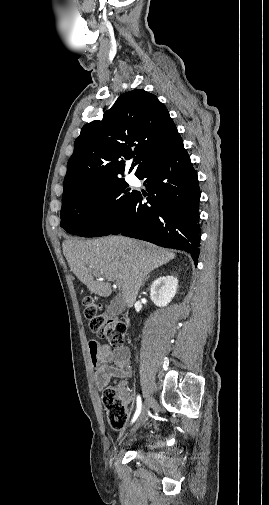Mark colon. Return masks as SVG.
Wrapping results in <instances>:
<instances>
[{"label":"colon","instance_id":"obj_1","mask_svg":"<svg viewBox=\"0 0 269 505\" xmlns=\"http://www.w3.org/2000/svg\"><path fill=\"white\" fill-rule=\"evenodd\" d=\"M84 315L89 320L91 330L101 339L107 340L113 347L123 346L126 325L117 318H110L101 313L100 304L93 297L84 299ZM103 403L107 411L110 426L122 430L127 423V412L119 401L114 390H108L103 395Z\"/></svg>","mask_w":269,"mask_h":505}]
</instances>
